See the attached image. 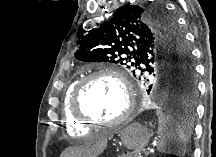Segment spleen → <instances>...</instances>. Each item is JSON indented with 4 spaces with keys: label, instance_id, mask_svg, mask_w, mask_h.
Here are the masks:
<instances>
[{
    "label": "spleen",
    "instance_id": "3e777b00",
    "mask_svg": "<svg viewBox=\"0 0 216 157\" xmlns=\"http://www.w3.org/2000/svg\"><path fill=\"white\" fill-rule=\"evenodd\" d=\"M158 117V139L157 149L161 153L184 157L188 135L184 131L181 123L170 115L157 111Z\"/></svg>",
    "mask_w": 216,
    "mask_h": 157
}]
</instances>
